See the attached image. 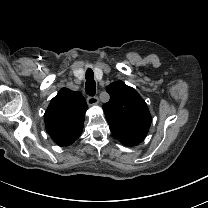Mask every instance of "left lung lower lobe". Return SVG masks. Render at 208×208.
Returning <instances> with one entry per match:
<instances>
[{
	"instance_id": "1",
	"label": "left lung lower lobe",
	"mask_w": 208,
	"mask_h": 208,
	"mask_svg": "<svg viewBox=\"0 0 208 208\" xmlns=\"http://www.w3.org/2000/svg\"><path fill=\"white\" fill-rule=\"evenodd\" d=\"M110 130L112 134L126 146H135L141 143L147 135V133H135L116 128H110Z\"/></svg>"
}]
</instances>
